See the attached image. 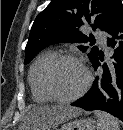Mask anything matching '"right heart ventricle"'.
Segmentation results:
<instances>
[{
  "label": "right heart ventricle",
  "mask_w": 123,
  "mask_h": 130,
  "mask_svg": "<svg viewBox=\"0 0 123 130\" xmlns=\"http://www.w3.org/2000/svg\"><path fill=\"white\" fill-rule=\"evenodd\" d=\"M54 56L55 53L52 50H46L37 56L30 67L28 82L32 99L37 103H49L53 101L44 86V72Z\"/></svg>",
  "instance_id": "1"
}]
</instances>
